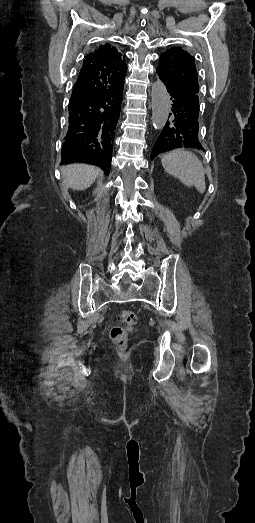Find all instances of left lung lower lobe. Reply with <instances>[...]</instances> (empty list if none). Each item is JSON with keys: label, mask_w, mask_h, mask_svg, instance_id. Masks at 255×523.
<instances>
[{"label": "left lung lower lobe", "mask_w": 255, "mask_h": 523, "mask_svg": "<svg viewBox=\"0 0 255 523\" xmlns=\"http://www.w3.org/2000/svg\"><path fill=\"white\" fill-rule=\"evenodd\" d=\"M158 82H162L163 89L168 95H175V98L171 99L173 114L165 122V128L159 129V137H156L151 144L152 152L148 154V157L156 160L157 153L170 152V147L200 150L202 145L198 141L200 132L198 107L188 98H184L183 92H178L175 86L169 85L167 80L163 81V77H158Z\"/></svg>", "instance_id": "obj_1"}]
</instances>
